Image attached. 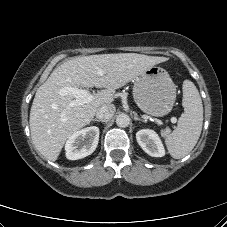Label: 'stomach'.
Returning a JSON list of instances; mask_svg holds the SVG:
<instances>
[{
    "mask_svg": "<svg viewBox=\"0 0 227 227\" xmlns=\"http://www.w3.org/2000/svg\"><path fill=\"white\" fill-rule=\"evenodd\" d=\"M133 97L143 112L161 117L174 106L176 86L164 68L153 66L136 78Z\"/></svg>",
    "mask_w": 227,
    "mask_h": 227,
    "instance_id": "1",
    "label": "stomach"
}]
</instances>
